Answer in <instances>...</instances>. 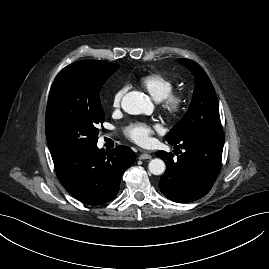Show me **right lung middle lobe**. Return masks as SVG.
I'll return each instance as SVG.
<instances>
[{"mask_svg": "<svg viewBox=\"0 0 269 269\" xmlns=\"http://www.w3.org/2000/svg\"><path fill=\"white\" fill-rule=\"evenodd\" d=\"M119 65L83 60L65 67L55 78L46 110V138L52 159L97 144L105 120L99 93Z\"/></svg>", "mask_w": 269, "mask_h": 269, "instance_id": "right-lung-middle-lobe-1", "label": "right lung middle lobe"}]
</instances>
